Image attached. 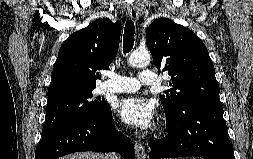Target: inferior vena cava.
<instances>
[{
    "label": "inferior vena cava",
    "mask_w": 253,
    "mask_h": 159,
    "mask_svg": "<svg viewBox=\"0 0 253 159\" xmlns=\"http://www.w3.org/2000/svg\"><path fill=\"white\" fill-rule=\"evenodd\" d=\"M107 159H119V156L117 153H111L107 155Z\"/></svg>",
    "instance_id": "obj_1"
}]
</instances>
